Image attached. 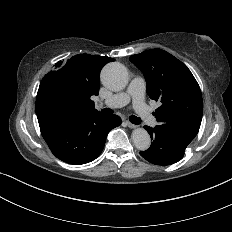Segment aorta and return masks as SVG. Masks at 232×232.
<instances>
[{"mask_svg": "<svg viewBox=\"0 0 232 232\" xmlns=\"http://www.w3.org/2000/svg\"><path fill=\"white\" fill-rule=\"evenodd\" d=\"M101 81L109 90L121 91L128 84V72L120 63H109L101 71ZM132 139L138 150L145 151L150 147L151 138L144 128L134 129Z\"/></svg>", "mask_w": 232, "mask_h": 232, "instance_id": "aorta-1", "label": "aorta"}]
</instances>
